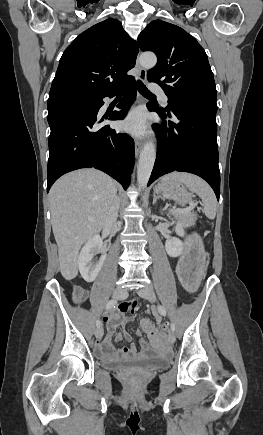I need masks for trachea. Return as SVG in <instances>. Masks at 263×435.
<instances>
[{"label":"trachea","instance_id":"obj_1","mask_svg":"<svg viewBox=\"0 0 263 435\" xmlns=\"http://www.w3.org/2000/svg\"><path fill=\"white\" fill-rule=\"evenodd\" d=\"M137 88H138V91L140 92V94H142L143 96H145V97H155V95L152 94L147 89V87L143 84V82L140 81V80L137 81Z\"/></svg>","mask_w":263,"mask_h":435}]
</instances>
